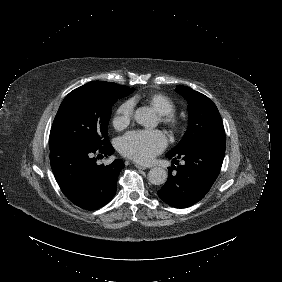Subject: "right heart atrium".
<instances>
[{
    "label": "right heart atrium",
    "instance_id": "obj_1",
    "mask_svg": "<svg viewBox=\"0 0 282 282\" xmlns=\"http://www.w3.org/2000/svg\"><path fill=\"white\" fill-rule=\"evenodd\" d=\"M132 115V107L129 103L122 105L114 118V124L116 127H123L129 123Z\"/></svg>",
    "mask_w": 282,
    "mask_h": 282
}]
</instances>
